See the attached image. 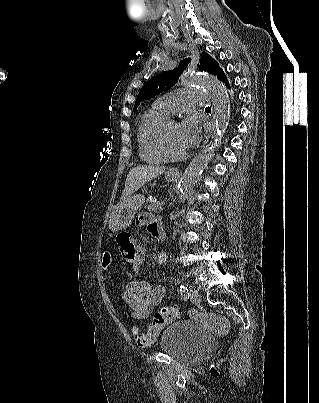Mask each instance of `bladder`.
Instances as JSON below:
<instances>
[{
    "instance_id": "obj_1",
    "label": "bladder",
    "mask_w": 319,
    "mask_h": 403,
    "mask_svg": "<svg viewBox=\"0 0 319 403\" xmlns=\"http://www.w3.org/2000/svg\"><path fill=\"white\" fill-rule=\"evenodd\" d=\"M210 334L194 322L176 321L161 333L159 346L174 361L192 365L202 361L212 345Z\"/></svg>"
}]
</instances>
